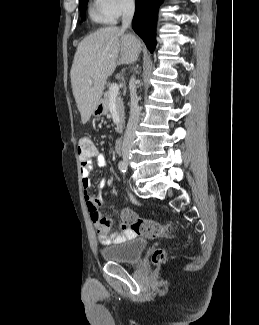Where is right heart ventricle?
I'll use <instances>...</instances> for the list:
<instances>
[{
	"mask_svg": "<svg viewBox=\"0 0 259 325\" xmlns=\"http://www.w3.org/2000/svg\"><path fill=\"white\" fill-rule=\"evenodd\" d=\"M89 17L93 22L100 24H109L113 22L103 10L100 0H94L89 6Z\"/></svg>",
	"mask_w": 259,
	"mask_h": 325,
	"instance_id": "1",
	"label": "right heart ventricle"
}]
</instances>
